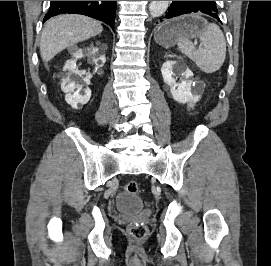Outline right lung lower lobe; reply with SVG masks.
<instances>
[{"label":"right lung lower lobe","instance_id":"98d812e1","mask_svg":"<svg viewBox=\"0 0 271 266\" xmlns=\"http://www.w3.org/2000/svg\"><path fill=\"white\" fill-rule=\"evenodd\" d=\"M61 13L86 15L114 28L116 1H51L44 22Z\"/></svg>","mask_w":271,"mask_h":266}]
</instances>
